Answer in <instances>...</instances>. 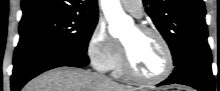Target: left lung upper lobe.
<instances>
[{"label": "left lung upper lobe", "mask_w": 220, "mask_h": 91, "mask_svg": "<svg viewBox=\"0 0 220 91\" xmlns=\"http://www.w3.org/2000/svg\"><path fill=\"white\" fill-rule=\"evenodd\" d=\"M143 3L168 43L176 67L210 53L203 0H143Z\"/></svg>", "instance_id": "5c2ea615"}]
</instances>
